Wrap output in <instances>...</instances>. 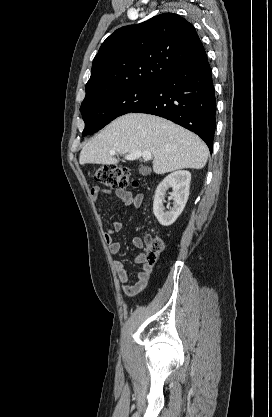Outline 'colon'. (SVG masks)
I'll return each mask as SVG.
<instances>
[{
	"label": "colon",
	"mask_w": 272,
	"mask_h": 417,
	"mask_svg": "<svg viewBox=\"0 0 272 417\" xmlns=\"http://www.w3.org/2000/svg\"><path fill=\"white\" fill-rule=\"evenodd\" d=\"M94 179L110 188H123L130 184L137 185L131 180L130 173L127 169L120 168L114 164H105L98 167L93 172ZM166 242L162 238H153L148 242L146 253L144 255L145 261L151 265L156 258L164 252Z\"/></svg>",
	"instance_id": "5ec220e1"
}]
</instances>
